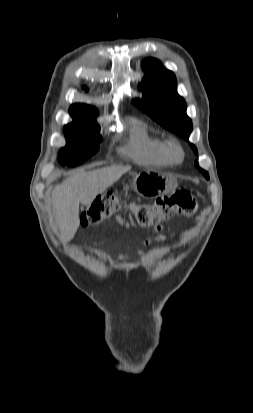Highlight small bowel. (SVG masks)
Segmentation results:
<instances>
[{"mask_svg": "<svg viewBox=\"0 0 253 413\" xmlns=\"http://www.w3.org/2000/svg\"><path fill=\"white\" fill-rule=\"evenodd\" d=\"M117 221L121 222V218L119 216L116 217Z\"/></svg>", "mask_w": 253, "mask_h": 413, "instance_id": "1", "label": "small bowel"}]
</instances>
